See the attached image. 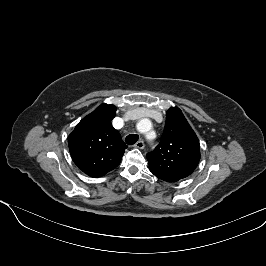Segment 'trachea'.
Listing matches in <instances>:
<instances>
[{
    "label": "trachea",
    "mask_w": 266,
    "mask_h": 266,
    "mask_svg": "<svg viewBox=\"0 0 266 266\" xmlns=\"http://www.w3.org/2000/svg\"><path fill=\"white\" fill-rule=\"evenodd\" d=\"M139 136L137 134H129L126 138L125 141L128 145H133L138 141Z\"/></svg>",
    "instance_id": "obj_1"
}]
</instances>
